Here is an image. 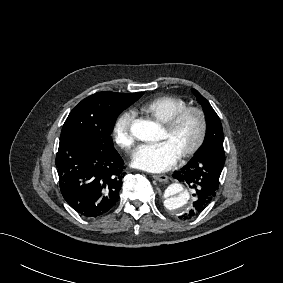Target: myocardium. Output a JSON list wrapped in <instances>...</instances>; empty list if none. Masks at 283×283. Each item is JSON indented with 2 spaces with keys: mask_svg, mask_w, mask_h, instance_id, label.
Instances as JSON below:
<instances>
[{
  "mask_svg": "<svg viewBox=\"0 0 283 283\" xmlns=\"http://www.w3.org/2000/svg\"><path fill=\"white\" fill-rule=\"evenodd\" d=\"M191 113L195 114L199 119V124H200L199 134H198V137L195 143L189 149H187L186 151L182 153V155L180 156L181 160H186L192 157L203 147L205 140H206V135H207V120H206L205 113L199 107L188 106L186 108H183L175 112L171 116H169L168 119L164 123V128L168 132H172L176 129V127L181 122V120L186 115L191 114Z\"/></svg>",
  "mask_w": 283,
  "mask_h": 283,
  "instance_id": "obj_1",
  "label": "myocardium"
}]
</instances>
